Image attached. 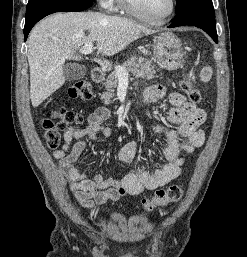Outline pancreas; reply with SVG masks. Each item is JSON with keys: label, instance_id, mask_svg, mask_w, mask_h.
I'll use <instances>...</instances> for the list:
<instances>
[{"label": "pancreas", "instance_id": "obj_1", "mask_svg": "<svg viewBox=\"0 0 247 257\" xmlns=\"http://www.w3.org/2000/svg\"><path fill=\"white\" fill-rule=\"evenodd\" d=\"M127 72L132 73L136 78H145L151 80L155 77L156 70L149 61H144V59H137L135 57L126 61L123 66ZM118 77L116 72H112L108 75L106 81L103 83L105 92L100 94V98L105 105H109L112 101L111 98L114 95L115 88L118 85Z\"/></svg>", "mask_w": 247, "mask_h": 257}]
</instances>
